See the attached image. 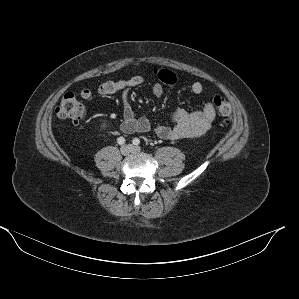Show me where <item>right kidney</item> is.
<instances>
[{"label":"right kidney","mask_w":299,"mask_h":299,"mask_svg":"<svg viewBox=\"0 0 299 299\" xmlns=\"http://www.w3.org/2000/svg\"><path fill=\"white\" fill-rule=\"evenodd\" d=\"M107 127V125H106V123L104 122V123H102V125H101V128H106Z\"/></svg>","instance_id":"right-kidney-1"}]
</instances>
